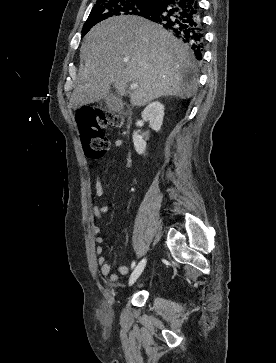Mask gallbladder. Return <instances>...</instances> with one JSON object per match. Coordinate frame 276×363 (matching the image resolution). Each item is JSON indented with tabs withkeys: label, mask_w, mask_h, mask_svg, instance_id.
Returning <instances> with one entry per match:
<instances>
[{
	"label": "gallbladder",
	"mask_w": 276,
	"mask_h": 363,
	"mask_svg": "<svg viewBox=\"0 0 276 363\" xmlns=\"http://www.w3.org/2000/svg\"><path fill=\"white\" fill-rule=\"evenodd\" d=\"M100 103H104L108 110L112 112H119L123 109L122 100L114 94H108L104 99L100 100Z\"/></svg>",
	"instance_id": "obj_1"
}]
</instances>
